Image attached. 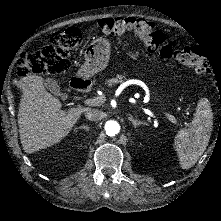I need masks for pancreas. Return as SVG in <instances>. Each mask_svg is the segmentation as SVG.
<instances>
[{"instance_id":"cf45deb5","label":"pancreas","mask_w":221,"mask_h":221,"mask_svg":"<svg viewBox=\"0 0 221 221\" xmlns=\"http://www.w3.org/2000/svg\"><path fill=\"white\" fill-rule=\"evenodd\" d=\"M124 79V76L122 75H117L115 78H111L106 80L105 84H107L109 87H112L113 85L117 83H121Z\"/></svg>"}]
</instances>
